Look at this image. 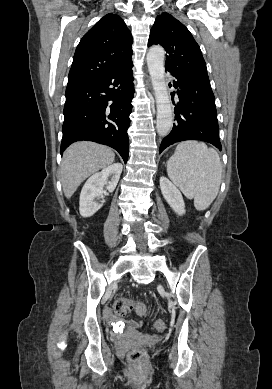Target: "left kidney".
<instances>
[{
    "label": "left kidney",
    "instance_id": "5707ae66",
    "mask_svg": "<svg viewBox=\"0 0 272 389\" xmlns=\"http://www.w3.org/2000/svg\"><path fill=\"white\" fill-rule=\"evenodd\" d=\"M160 189L163 197L178 215L185 214V203L179 189L166 177L160 178Z\"/></svg>",
    "mask_w": 272,
    "mask_h": 389
}]
</instances>
